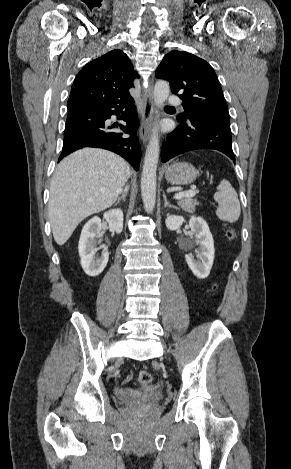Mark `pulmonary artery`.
Masks as SVG:
<instances>
[{"mask_svg":"<svg viewBox=\"0 0 291 469\" xmlns=\"http://www.w3.org/2000/svg\"><path fill=\"white\" fill-rule=\"evenodd\" d=\"M168 103L169 105L171 106H179L181 105V100L179 97L175 96V95H171L169 98H168Z\"/></svg>","mask_w":291,"mask_h":469,"instance_id":"pulmonary-artery-1","label":"pulmonary artery"}]
</instances>
